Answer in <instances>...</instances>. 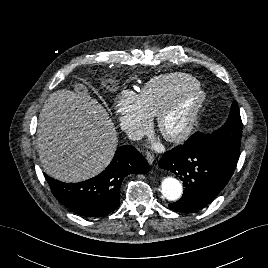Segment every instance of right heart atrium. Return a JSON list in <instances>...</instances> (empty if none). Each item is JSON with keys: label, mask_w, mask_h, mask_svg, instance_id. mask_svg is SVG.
<instances>
[{"label": "right heart atrium", "mask_w": 268, "mask_h": 268, "mask_svg": "<svg viewBox=\"0 0 268 268\" xmlns=\"http://www.w3.org/2000/svg\"><path fill=\"white\" fill-rule=\"evenodd\" d=\"M115 112L121 127L130 133L143 132L153 119L142 96L132 91H125L118 96Z\"/></svg>", "instance_id": "d8ad5b80"}]
</instances>
